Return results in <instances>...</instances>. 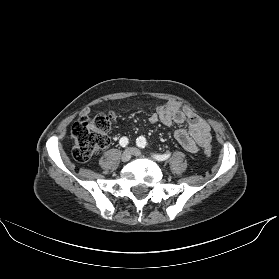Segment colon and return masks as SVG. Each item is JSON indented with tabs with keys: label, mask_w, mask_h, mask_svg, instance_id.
<instances>
[{
	"label": "colon",
	"mask_w": 279,
	"mask_h": 279,
	"mask_svg": "<svg viewBox=\"0 0 279 279\" xmlns=\"http://www.w3.org/2000/svg\"><path fill=\"white\" fill-rule=\"evenodd\" d=\"M114 118V114L111 112L100 113L95 116L83 114L74 123L71 129L72 155L77 162H87L96 151L108 145V131ZM211 152V146L204 149L206 155H210Z\"/></svg>",
	"instance_id": "1"
}]
</instances>
